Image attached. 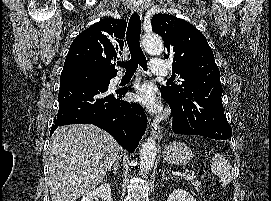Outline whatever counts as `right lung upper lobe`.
Segmentation results:
<instances>
[{"mask_svg":"<svg viewBox=\"0 0 271 201\" xmlns=\"http://www.w3.org/2000/svg\"><path fill=\"white\" fill-rule=\"evenodd\" d=\"M127 23L105 18L80 33L72 42L64 67L81 65L100 74L116 75Z\"/></svg>","mask_w":271,"mask_h":201,"instance_id":"right-lung-upper-lobe-1","label":"right lung upper lobe"}]
</instances>
